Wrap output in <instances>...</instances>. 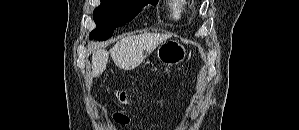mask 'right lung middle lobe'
<instances>
[{
	"label": "right lung middle lobe",
	"instance_id": "dd1d6c3e",
	"mask_svg": "<svg viewBox=\"0 0 299 130\" xmlns=\"http://www.w3.org/2000/svg\"><path fill=\"white\" fill-rule=\"evenodd\" d=\"M101 5L93 12L97 25L90 33V38L105 40L111 36L116 27L130 22L147 4L155 5L157 2H144L137 0H100Z\"/></svg>",
	"mask_w": 299,
	"mask_h": 130
}]
</instances>
